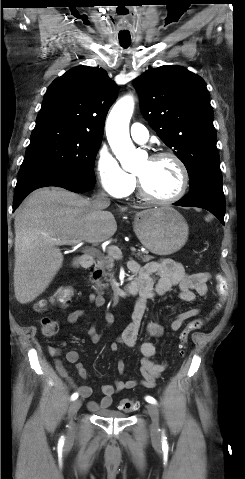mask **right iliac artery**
Here are the masks:
<instances>
[{"instance_id": "right-iliac-artery-1", "label": "right iliac artery", "mask_w": 245, "mask_h": 479, "mask_svg": "<svg viewBox=\"0 0 245 479\" xmlns=\"http://www.w3.org/2000/svg\"><path fill=\"white\" fill-rule=\"evenodd\" d=\"M77 398H78V393L72 394V396H71V400H72V401H73V400H76Z\"/></svg>"}]
</instances>
